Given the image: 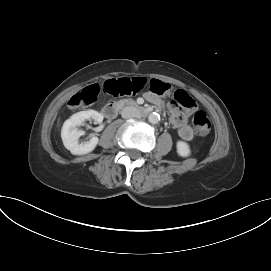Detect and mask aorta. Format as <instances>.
<instances>
[{
	"mask_svg": "<svg viewBox=\"0 0 271 271\" xmlns=\"http://www.w3.org/2000/svg\"><path fill=\"white\" fill-rule=\"evenodd\" d=\"M148 121L152 124H156L160 121V115L156 112H153L148 116Z\"/></svg>",
	"mask_w": 271,
	"mask_h": 271,
	"instance_id": "762f6f07",
	"label": "aorta"
}]
</instances>
